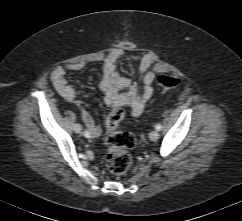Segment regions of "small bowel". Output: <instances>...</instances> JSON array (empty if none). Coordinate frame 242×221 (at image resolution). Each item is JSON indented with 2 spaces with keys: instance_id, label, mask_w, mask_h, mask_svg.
I'll return each instance as SVG.
<instances>
[{
  "instance_id": "c3829d8e",
  "label": "small bowel",
  "mask_w": 242,
  "mask_h": 221,
  "mask_svg": "<svg viewBox=\"0 0 242 221\" xmlns=\"http://www.w3.org/2000/svg\"><path fill=\"white\" fill-rule=\"evenodd\" d=\"M127 47L121 45L112 49L102 64V79L100 89L104 94L105 104L113 109L117 106L129 107L133 116L140 115L153 95L155 73L149 70L151 58L145 56L139 64V89L132 80L122 76L117 69L118 59ZM85 67L84 62L69 63L56 68L52 72V82L57 92L67 101L74 103L85 125L90 130L92 137L100 135L101 129L94 122L91 115L83 108L77 99L76 91L67 83L66 75L70 71H80Z\"/></svg>"
}]
</instances>
